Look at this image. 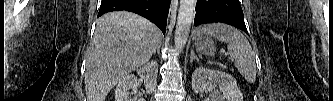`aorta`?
I'll return each mask as SVG.
<instances>
[{
  "label": "aorta",
  "instance_id": "1",
  "mask_svg": "<svg viewBox=\"0 0 333 101\" xmlns=\"http://www.w3.org/2000/svg\"><path fill=\"white\" fill-rule=\"evenodd\" d=\"M195 0H181L175 30V47L182 51L186 45L195 14Z\"/></svg>",
  "mask_w": 333,
  "mask_h": 101
}]
</instances>
